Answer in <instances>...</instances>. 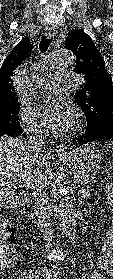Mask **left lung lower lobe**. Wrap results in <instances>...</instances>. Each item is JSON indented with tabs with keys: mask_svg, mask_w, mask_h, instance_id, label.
I'll return each mask as SVG.
<instances>
[{
	"mask_svg": "<svg viewBox=\"0 0 113 279\" xmlns=\"http://www.w3.org/2000/svg\"><path fill=\"white\" fill-rule=\"evenodd\" d=\"M113 140V119L104 118L103 122L94 129L86 128L85 134L77 141L79 146L87 143Z\"/></svg>",
	"mask_w": 113,
	"mask_h": 279,
	"instance_id": "obj_1",
	"label": "left lung lower lobe"
}]
</instances>
